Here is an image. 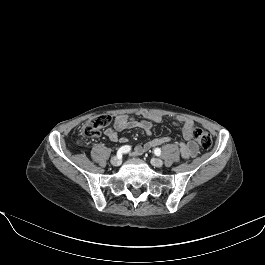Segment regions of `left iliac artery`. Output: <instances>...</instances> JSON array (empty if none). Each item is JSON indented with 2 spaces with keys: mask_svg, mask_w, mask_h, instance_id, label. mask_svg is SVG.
Listing matches in <instances>:
<instances>
[{
  "mask_svg": "<svg viewBox=\"0 0 265 265\" xmlns=\"http://www.w3.org/2000/svg\"><path fill=\"white\" fill-rule=\"evenodd\" d=\"M154 153H155V155L159 156V155L161 154V150H160V148H156V149L154 150Z\"/></svg>",
  "mask_w": 265,
  "mask_h": 265,
  "instance_id": "left-iliac-artery-1",
  "label": "left iliac artery"
}]
</instances>
